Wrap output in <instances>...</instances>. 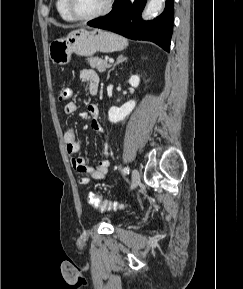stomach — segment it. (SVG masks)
<instances>
[{"label": "stomach", "instance_id": "obj_1", "mask_svg": "<svg viewBox=\"0 0 243 289\" xmlns=\"http://www.w3.org/2000/svg\"><path fill=\"white\" fill-rule=\"evenodd\" d=\"M128 41L108 31L77 29L65 38L56 39L49 45V57L54 64L66 65L72 53L92 56L96 52L111 53L126 48Z\"/></svg>", "mask_w": 243, "mask_h": 289}]
</instances>
